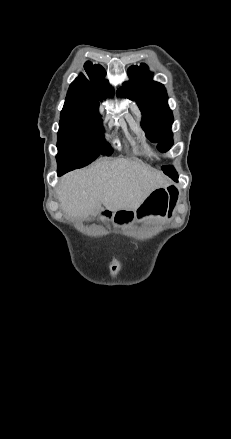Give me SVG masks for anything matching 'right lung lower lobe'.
<instances>
[{
  "label": "right lung lower lobe",
  "mask_w": 231,
  "mask_h": 439,
  "mask_svg": "<svg viewBox=\"0 0 231 439\" xmlns=\"http://www.w3.org/2000/svg\"><path fill=\"white\" fill-rule=\"evenodd\" d=\"M67 171H70L68 168H58V175H63Z\"/></svg>",
  "instance_id": "1"
}]
</instances>
